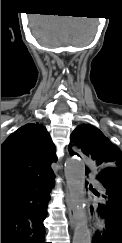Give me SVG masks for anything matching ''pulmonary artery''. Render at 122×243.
I'll return each instance as SVG.
<instances>
[{"instance_id":"obj_1","label":"pulmonary artery","mask_w":122,"mask_h":243,"mask_svg":"<svg viewBox=\"0 0 122 243\" xmlns=\"http://www.w3.org/2000/svg\"><path fill=\"white\" fill-rule=\"evenodd\" d=\"M93 183H94L96 186H98V187L100 186L99 182L96 181V180H94V179H93Z\"/></svg>"}]
</instances>
